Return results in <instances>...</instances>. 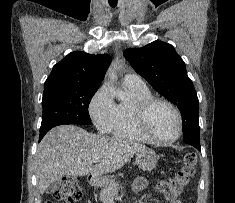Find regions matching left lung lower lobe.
<instances>
[{
  "label": "left lung lower lobe",
  "mask_w": 235,
  "mask_h": 203,
  "mask_svg": "<svg viewBox=\"0 0 235 203\" xmlns=\"http://www.w3.org/2000/svg\"><path fill=\"white\" fill-rule=\"evenodd\" d=\"M183 141L189 145H192L194 146L195 148H197L198 150H201V147H200V143H196L194 142L193 140V137H192V134L190 132H186L184 135H183Z\"/></svg>",
  "instance_id": "obj_1"
}]
</instances>
